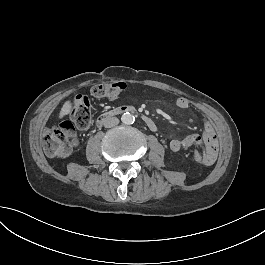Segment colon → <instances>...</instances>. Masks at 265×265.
<instances>
[{"label": "colon", "mask_w": 265, "mask_h": 265, "mask_svg": "<svg viewBox=\"0 0 265 265\" xmlns=\"http://www.w3.org/2000/svg\"><path fill=\"white\" fill-rule=\"evenodd\" d=\"M123 83L96 84L89 94L97 99L115 100L123 92ZM90 99L88 94H77L73 108L70 111L73 122L60 121L45 131L42 137L44 152L50 157L67 155L76 140L74 124L80 128H86L91 120ZM200 149L192 151L193 158L204 165L200 160Z\"/></svg>", "instance_id": "5ec220e1"}]
</instances>
